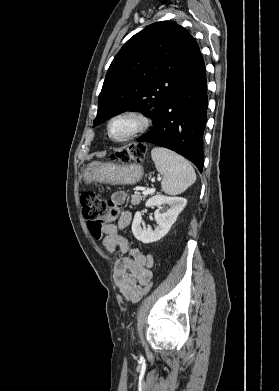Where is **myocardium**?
<instances>
[{
    "label": "myocardium",
    "instance_id": "1",
    "mask_svg": "<svg viewBox=\"0 0 279 391\" xmlns=\"http://www.w3.org/2000/svg\"><path fill=\"white\" fill-rule=\"evenodd\" d=\"M121 119H130L133 121L132 128L122 137H116L112 134V125ZM150 124L149 118L142 112L137 110H123L113 115L107 123V135L108 137L118 143H124L132 140L137 135L142 133L148 128Z\"/></svg>",
    "mask_w": 279,
    "mask_h": 391
}]
</instances>
